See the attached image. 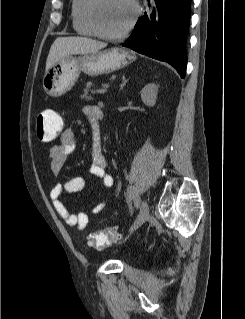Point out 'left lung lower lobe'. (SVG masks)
<instances>
[{"mask_svg":"<svg viewBox=\"0 0 245 319\" xmlns=\"http://www.w3.org/2000/svg\"><path fill=\"white\" fill-rule=\"evenodd\" d=\"M148 1L150 9L138 19L123 46L171 64L183 78L191 0Z\"/></svg>","mask_w":245,"mask_h":319,"instance_id":"1","label":"left lung lower lobe"}]
</instances>
